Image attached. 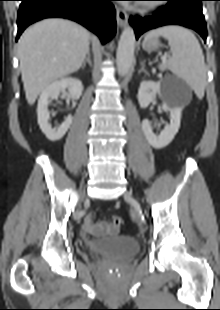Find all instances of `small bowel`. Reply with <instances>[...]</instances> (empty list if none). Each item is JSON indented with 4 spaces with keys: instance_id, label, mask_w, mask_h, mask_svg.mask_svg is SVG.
<instances>
[{
    "instance_id": "c3829d8e",
    "label": "small bowel",
    "mask_w": 220,
    "mask_h": 310,
    "mask_svg": "<svg viewBox=\"0 0 220 310\" xmlns=\"http://www.w3.org/2000/svg\"><path fill=\"white\" fill-rule=\"evenodd\" d=\"M83 229L87 233L95 235L112 234L114 233L112 226H110L106 221L95 222L93 216H87L82 223Z\"/></svg>"
}]
</instances>
